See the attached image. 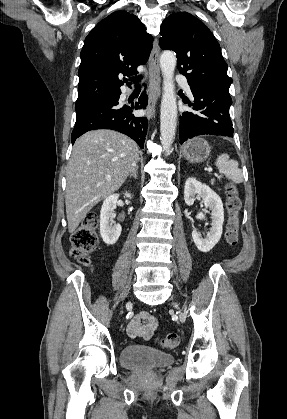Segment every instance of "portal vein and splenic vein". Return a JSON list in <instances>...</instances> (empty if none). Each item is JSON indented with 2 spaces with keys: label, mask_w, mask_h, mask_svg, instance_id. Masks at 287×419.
Segmentation results:
<instances>
[{
  "label": "portal vein and splenic vein",
  "mask_w": 287,
  "mask_h": 419,
  "mask_svg": "<svg viewBox=\"0 0 287 419\" xmlns=\"http://www.w3.org/2000/svg\"><path fill=\"white\" fill-rule=\"evenodd\" d=\"M208 171H212V169H211V168H209V169H208Z\"/></svg>",
  "instance_id": "1"
}]
</instances>
